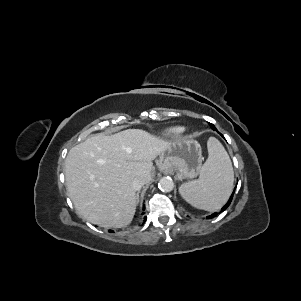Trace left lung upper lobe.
<instances>
[{
	"instance_id": "left-lung-upper-lobe-1",
	"label": "left lung upper lobe",
	"mask_w": 301,
	"mask_h": 301,
	"mask_svg": "<svg viewBox=\"0 0 301 301\" xmlns=\"http://www.w3.org/2000/svg\"><path fill=\"white\" fill-rule=\"evenodd\" d=\"M211 128L214 130L215 126L213 124L210 123Z\"/></svg>"
}]
</instances>
